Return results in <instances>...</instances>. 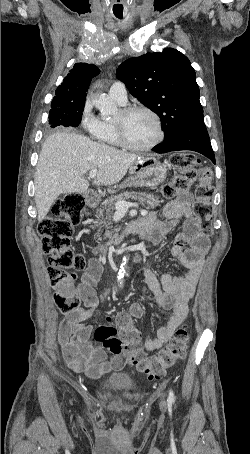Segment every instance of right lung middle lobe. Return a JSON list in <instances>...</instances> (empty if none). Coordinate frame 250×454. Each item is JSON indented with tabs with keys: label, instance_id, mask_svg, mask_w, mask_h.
I'll list each match as a JSON object with an SVG mask.
<instances>
[{
	"label": "right lung middle lobe",
	"instance_id": "1",
	"mask_svg": "<svg viewBox=\"0 0 250 454\" xmlns=\"http://www.w3.org/2000/svg\"><path fill=\"white\" fill-rule=\"evenodd\" d=\"M84 105L85 101L69 102L53 99L49 112V124L52 128L59 125L77 127L81 122Z\"/></svg>",
	"mask_w": 250,
	"mask_h": 454
}]
</instances>
